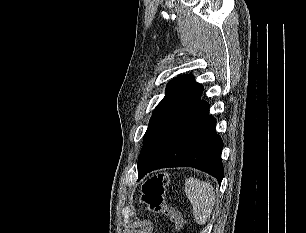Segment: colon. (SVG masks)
<instances>
[{
  "label": "colon",
  "mask_w": 306,
  "mask_h": 233,
  "mask_svg": "<svg viewBox=\"0 0 306 233\" xmlns=\"http://www.w3.org/2000/svg\"><path fill=\"white\" fill-rule=\"evenodd\" d=\"M168 186L167 174L159 172L147 178L141 186L140 202L152 213L169 218L180 231L185 220L179 210L169 205L165 199V190Z\"/></svg>",
  "instance_id": "1"
}]
</instances>
